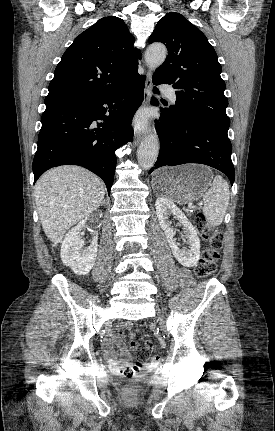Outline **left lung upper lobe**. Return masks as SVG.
Masks as SVG:
<instances>
[{"instance_id": "left-lung-upper-lobe-1", "label": "left lung upper lobe", "mask_w": 275, "mask_h": 431, "mask_svg": "<svg viewBox=\"0 0 275 431\" xmlns=\"http://www.w3.org/2000/svg\"><path fill=\"white\" fill-rule=\"evenodd\" d=\"M153 42L164 43L168 50L153 80L176 89V103L169 110L229 126L222 68L206 36L181 14L170 12L149 37Z\"/></svg>"}]
</instances>
